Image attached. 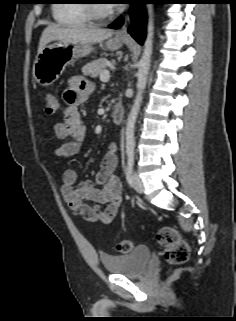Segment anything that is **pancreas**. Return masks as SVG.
Returning a JSON list of instances; mask_svg holds the SVG:
<instances>
[{
    "label": "pancreas",
    "mask_w": 236,
    "mask_h": 321,
    "mask_svg": "<svg viewBox=\"0 0 236 321\" xmlns=\"http://www.w3.org/2000/svg\"><path fill=\"white\" fill-rule=\"evenodd\" d=\"M108 60L106 58H101L91 63H88L82 68V72L85 75H89L92 78H96L100 75L102 71L106 69Z\"/></svg>",
    "instance_id": "cf45deb5"
}]
</instances>
